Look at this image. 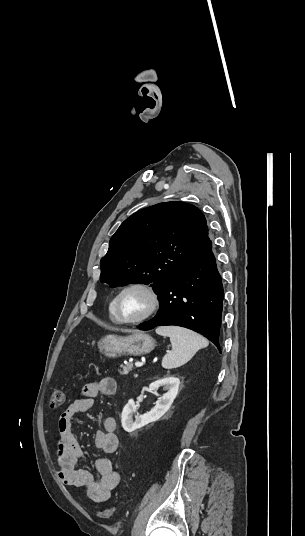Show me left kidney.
I'll return each mask as SVG.
<instances>
[{
	"label": "left kidney",
	"instance_id": "1",
	"mask_svg": "<svg viewBox=\"0 0 305 536\" xmlns=\"http://www.w3.org/2000/svg\"><path fill=\"white\" fill-rule=\"evenodd\" d=\"M160 386H163V390H167L166 394L158 398L156 406L152 408L151 412L144 414V416H139L134 400H128V404L124 406L121 414L122 428H124L125 432H134L138 428L147 426L150 422H156V420H159V418H162L168 412L178 394L180 380L179 378H175V376H165L162 380L152 382L149 388L153 390L155 396H159L156 390ZM133 416H135V420H133Z\"/></svg>",
	"mask_w": 305,
	"mask_h": 536
}]
</instances>
